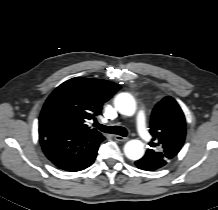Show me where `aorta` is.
Wrapping results in <instances>:
<instances>
[{
    "instance_id": "762f6f07",
    "label": "aorta",
    "mask_w": 218,
    "mask_h": 210,
    "mask_svg": "<svg viewBox=\"0 0 218 210\" xmlns=\"http://www.w3.org/2000/svg\"><path fill=\"white\" fill-rule=\"evenodd\" d=\"M114 105L118 112L125 116H133L136 112V102L129 93H120L115 97ZM124 153L130 160H139L145 153L140 140H130L124 146Z\"/></svg>"
}]
</instances>
